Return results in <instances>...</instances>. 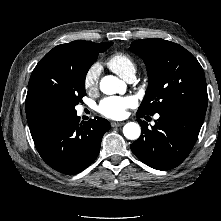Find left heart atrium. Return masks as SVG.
I'll list each match as a JSON object with an SVG mask.
<instances>
[{
	"label": "left heart atrium",
	"instance_id": "39dd6f15",
	"mask_svg": "<svg viewBox=\"0 0 221 221\" xmlns=\"http://www.w3.org/2000/svg\"><path fill=\"white\" fill-rule=\"evenodd\" d=\"M135 104L136 101L131 96H110L101 100L97 106V111L107 118L121 119L126 115L127 109L135 106Z\"/></svg>",
	"mask_w": 221,
	"mask_h": 221
}]
</instances>
